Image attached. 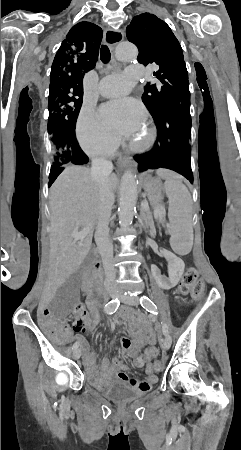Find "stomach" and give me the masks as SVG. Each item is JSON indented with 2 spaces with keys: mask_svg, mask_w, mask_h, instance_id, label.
<instances>
[{
  "mask_svg": "<svg viewBox=\"0 0 241 450\" xmlns=\"http://www.w3.org/2000/svg\"><path fill=\"white\" fill-rule=\"evenodd\" d=\"M143 186L152 206H159L163 201V188L157 178L145 177Z\"/></svg>",
  "mask_w": 241,
  "mask_h": 450,
  "instance_id": "stomach-1",
  "label": "stomach"
}]
</instances>
